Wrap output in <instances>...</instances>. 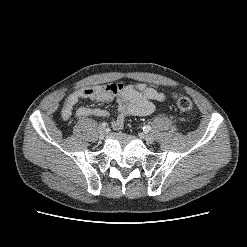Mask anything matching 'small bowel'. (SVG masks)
I'll list each match as a JSON object with an SVG mask.
<instances>
[{"label": "small bowel", "mask_w": 247, "mask_h": 247, "mask_svg": "<svg viewBox=\"0 0 247 247\" xmlns=\"http://www.w3.org/2000/svg\"><path fill=\"white\" fill-rule=\"evenodd\" d=\"M165 94L156 86L147 84L112 83L78 89L67 96L61 117L69 120L76 104L81 99H89L100 103L114 101L117 106V116L112 120L111 126L115 130L123 127L124 121L129 116H147L156 109V103L165 100ZM78 117L97 116L108 117L109 113L100 108L79 107L76 110Z\"/></svg>", "instance_id": "small-bowel-1"}]
</instances>
